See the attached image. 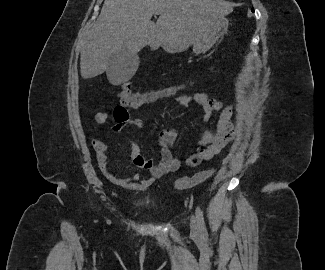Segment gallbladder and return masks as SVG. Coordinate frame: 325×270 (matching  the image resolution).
Instances as JSON below:
<instances>
[{
	"instance_id": "gallbladder-1",
	"label": "gallbladder",
	"mask_w": 325,
	"mask_h": 270,
	"mask_svg": "<svg viewBox=\"0 0 325 270\" xmlns=\"http://www.w3.org/2000/svg\"><path fill=\"white\" fill-rule=\"evenodd\" d=\"M139 65V57L124 49L113 54L109 60L107 76L130 78L134 75Z\"/></svg>"
}]
</instances>
